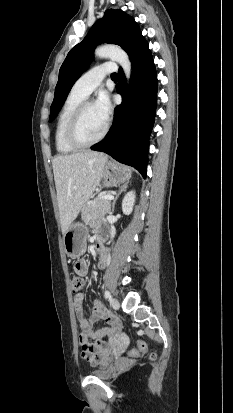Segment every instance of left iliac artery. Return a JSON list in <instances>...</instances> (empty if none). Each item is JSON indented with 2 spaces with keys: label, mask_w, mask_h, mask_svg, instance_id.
<instances>
[{
  "label": "left iliac artery",
  "mask_w": 233,
  "mask_h": 413,
  "mask_svg": "<svg viewBox=\"0 0 233 413\" xmlns=\"http://www.w3.org/2000/svg\"><path fill=\"white\" fill-rule=\"evenodd\" d=\"M104 296H105L106 299L110 298L111 297L110 292L108 290H106L104 292Z\"/></svg>",
  "instance_id": "obj_1"
}]
</instances>
